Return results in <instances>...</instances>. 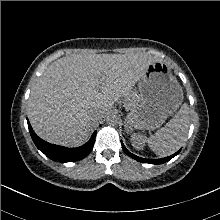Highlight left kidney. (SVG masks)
<instances>
[{"instance_id": "1", "label": "left kidney", "mask_w": 220, "mask_h": 220, "mask_svg": "<svg viewBox=\"0 0 220 220\" xmlns=\"http://www.w3.org/2000/svg\"><path fill=\"white\" fill-rule=\"evenodd\" d=\"M131 143H132V146L137 149V150H141L143 149L144 147V143H145V139L143 137V135H140V134H132L131 135Z\"/></svg>"}]
</instances>
